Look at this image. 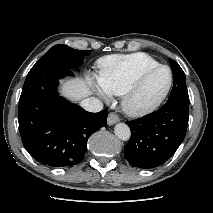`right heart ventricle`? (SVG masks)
<instances>
[{
    "mask_svg": "<svg viewBox=\"0 0 213 213\" xmlns=\"http://www.w3.org/2000/svg\"><path fill=\"white\" fill-rule=\"evenodd\" d=\"M158 64L145 53L108 56L99 61V82L108 94L122 95L142 72Z\"/></svg>",
    "mask_w": 213,
    "mask_h": 213,
    "instance_id": "1",
    "label": "right heart ventricle"
}]
</instances>
